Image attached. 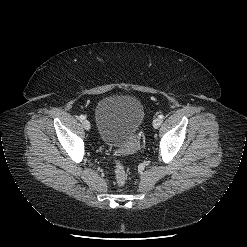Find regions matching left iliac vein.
Returning a JSON list of instances; mask_svg holds the SVG:
<instances>
[{"label": "left iliac vein", "mask_w": 247, "mask_h": 247, "mask_svg": "<svg viewBox=\"0 0 247 247\" xmlns=\"http://www.w3.org/2000/svg\"><path fill=\"white\" fill-rule=\"evenodd\" d=\"M160 125H161V119L156 118V119L153 120V127L155 129H158L160 127Z\"/></svg>", "instance_id": "left-iliac-vein-1"}]
</instances>
